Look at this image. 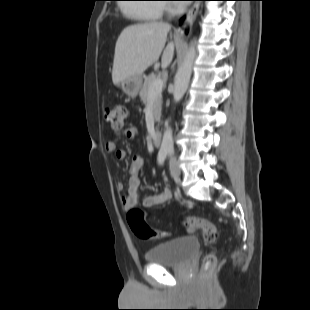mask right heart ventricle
Returning <instances> with one entry per match:
<instances>
[{
	"instance_id": "obj_1",
	"label": "right heart ventricle",
	"mask_w": 310,
	"mask_h": 310,
	"mask_svg": "<svg viewBox=\"0 0 310 310\" xmlns=\"http://www.w3.org/2000/svg\"><path fill=\"white\" fill-rule=\"evenodd\" d=\"M148 1V0H141ZM127 15L141 21L150 22L158 19L162 14V9L157 4L131 5L124 8Z\"/></svg>"
}]
</instances>
